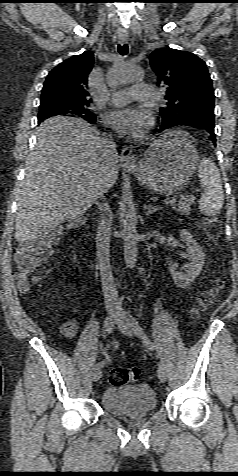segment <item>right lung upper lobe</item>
<instances>
[{
	"instance_id": "cb5924a9",
	"label": "right lung upper lobe",
	"mask_w": 238,
	"mask_h": 476,
	"mask_svg": "<svg viewBox=\"0 0 238 476\" xmlns=\"http://www.w3.org/2000/svg\"><path fill=\"white\" fill-rule=\"evenodd\" d=\"M94 55L88 51L66 59L47 76L41 102L53 101L71 106H88V75L93 68Z\"/></svg>"
}]
</instances>
